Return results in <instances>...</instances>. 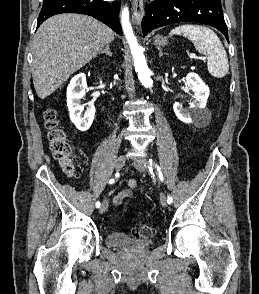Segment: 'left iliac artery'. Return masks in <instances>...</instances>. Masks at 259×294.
<instances>
[{
	"label": "left iliac artery",
	"instance_id": "44dca946",
	"mask_svg": "<svg viewBox=\"0 0 259 294\" xmlns=\"http://www.w3.org/2000/svg\"><path fill=\"white\" fill-rule=\"evenodd\" d=\"M153 164H154L153 160L150 159V160H149V166H148L149 170H152V165H153ZM156 168H157V171H158L159 179H160L161 181H163L164 178H163V174H162V172H161L160 167H159L158 165H156ZM172 202H173L172 197H171V196H168V198H167V203H168V204H171Z\"/></svg>",
	"mask_w": 259,
	"mask_h": 294
}]
</instances>
